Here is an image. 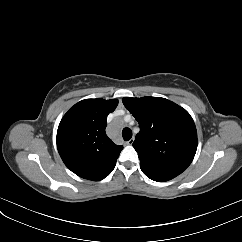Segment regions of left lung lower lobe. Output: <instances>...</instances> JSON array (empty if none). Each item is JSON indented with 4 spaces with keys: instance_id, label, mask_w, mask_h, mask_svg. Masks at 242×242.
<instances>
[{
    "instance_id": "0a47b994",
    "label": "left lung lower lobe",
    "mask_w": 242,
    "mask_h": 242,
    "mask_svg": "<svg viewBox=\"0 0 242 242\" xmlns=\"http://www.w3.org/2000/svg\"><path fill=\"white\" fill-rule=\"evenodd\" d=\"M150 179L158 181V182H164V181L170 180V179H154V178H150Z\"/></svg>"
}]
</instances>
